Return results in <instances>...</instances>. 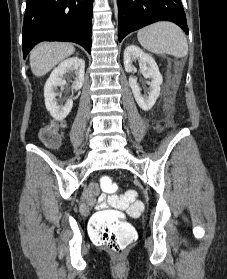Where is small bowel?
<instances>
[{
    "label": "small bowel",
    "mask_w": 227,
    "mask_h": 279,
    "mask_svg": "<svg viewBox=\"0 0 227 279\" xmlns=\"http://www.w3.org/2000/svg\"><path fill=\"white\" fill-rule=\"evenodd\" d=\"M107 206L126 211L131 215L138 214L143 208L142 202L135 200L133 196L131 198L127 196L106 197L101 194L97 184H90L84 194V203L79 209L82 214H88L95 208Z\"/></svg>",
    "instance_id": "c3829d8e"
}]
</instances>
